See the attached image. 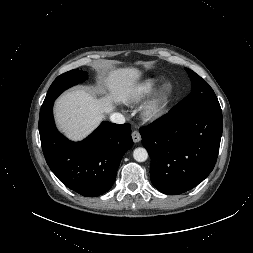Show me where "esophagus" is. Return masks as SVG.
Here are the masks:
<instances>
[{
    "label": "esophagus",
    "mask_w": 253,
    "mask_h": 253,
    "mask_svg": "<svg viewBox=\"0 0 253 253\" xmlns=\"http://www.w3.org/2000/svg\"><path fill=\"white\" fill-rule=\"evenodd\" d=\"M131 135H132V139H133V141H134L135 143L140 142V140H141V135H140V133H139L138 130H134V131L132 132Z\"/></svg>",
    "instance_id": "esophagus-1"
}]
</instances>
